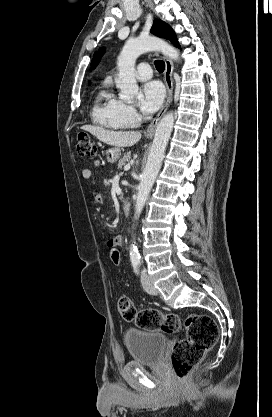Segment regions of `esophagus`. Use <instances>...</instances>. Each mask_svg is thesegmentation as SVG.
I'll return each mask as SVG.
<instances>
[{
  "instance_id": "obj_1",
  "label": "esophagus",
  "mask_w": 272,
  "mask_h": 417,
  "mask_svg": "<svg viewBox=\"0 0 272 417\" xmlns=\"http://www.w3.org/2000/svg\"><path fill=\"white\" fill-rule=\"evenodd\" d=\"M164 62H165V71H164V79H165V84H166V88H167V95L166 98L164 100L163 106L160 110V112L158 113V115L153 119V121L149 124L147 130H146V135L147 136H152L155 132V129L157 127V124L160 120V118L162 117V115L167 111L171 101H172V96H173V89H174V81H173V63L172 61L167 58V57H163Z\"/></svg>"
}]
</instances>
